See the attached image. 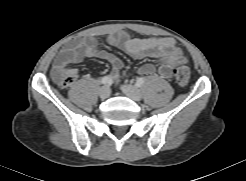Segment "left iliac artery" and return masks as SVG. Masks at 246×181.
Masks as SVG:
<instances>
[{
	"mask_svg": "<svg viewBox=\"0 0 246 181\" xmlns=\"http://www.w3.org/2000/svg\"><path fill=\"white\" fill-rule=\"evenodd\" d=\"M144 82H145L144 78L140 77L137 79L136 85L141 86L144 84Z\"/></svg>",
	"mask_w": 246,
	"mask_h": 181,
	"instance_id": "obj_1",
	"label": "left iliac artery"
}]
</instances>
